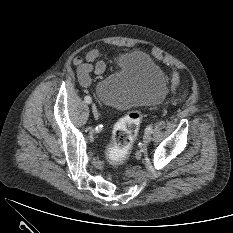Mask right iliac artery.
<instances>
[{
    "label": "right iliac artery",
    "mask_w": 233,
    "mask_h": 233,
    "mask_svg": "<svg viewBox=\"0 0 233 233\" xmlns=\"http://www.w3.org/2000/svg\"><path fill=\"white\" fill-rule=\"evenodd\" d=\"M84 100H85V102L88 103V104H90V103L92 102V99H91L90 96H85Z\"/></svg>",
    "instance_id": "82829eb1"
}]
</instances>
